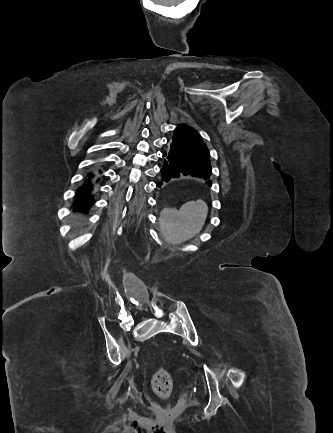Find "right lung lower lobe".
<instances>
[{
  "label": "right lung lower lobe",
  "mask_w": 333,
  "mask_h": 433,
  "mask_svg": "<svg viewBox=\"0 0 333 433\" xmlns=\"http://www.w3.org/2000/svg\"><path fill=\"white\" fill-rule=\"evenodd\" d=\"M99 172L102 173L101 171ZM94 177L95 173L92 172L87 175V179L79 188L75 196V207L84 210L95 203L94 197L92 195L93 184L90 182Z\"/></svg>",
  "instance_id": "98d812e1"
}]
</instances>
